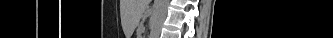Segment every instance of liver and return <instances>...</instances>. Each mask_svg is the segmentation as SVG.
Segmentation results:
<instances>
[{
    "mask_svg": "<svg viewBox=\"0 0 333 38\" xmlns=\"http://www.w3.org/2000/svg\"><path fill=\"white\" fill-rule=\"evenodd\" d=\"M150 0L133 1V24H137Z\"/></svg>",
    "mask_w": 333,
    "mask_h": 38,
    "instance_id": "liver-1",
    "label": "liver"
}]
</instances>
